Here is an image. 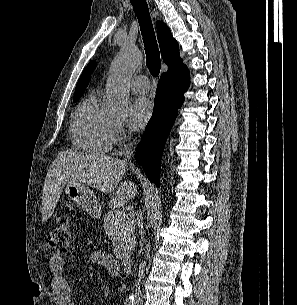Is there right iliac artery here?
Returning <instances> with one entry per match:
<instances>
[{"label":"right iliac artery","mask_w":297,"mask_h":305,"mask_svg":"<svg viewBox=\"0 0 297 305\" xmlns=\"http://www.w3.org/2000/svg\"><path fill=\"white\" fill-rule=\"evenodd\" d=\"M124 305H134V298L133 297L127 298Z\"/></svg>","instance_id":"right-iliac-artery-1"}]
</instances>
